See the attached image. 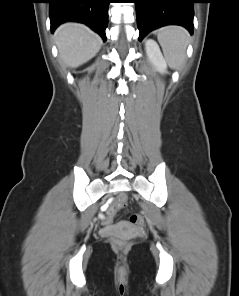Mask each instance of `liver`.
I'll return each mask as SVG.
<instances>
[{"mask_svg":"<svg viewBox=\"0 0 239 296\" xmlns=\"http://www.w3.org/2000/svg\"><path fill=\"white\" fill-rule=\"evenodd\" d=\"M60 59L76 68L92 59L100 50L101 37L80 23H65L54 34Z\"/></svg>","mask_w":239,"mask_h":296,"instance_id":"liver-1","label":"liver"}]
</instances>
